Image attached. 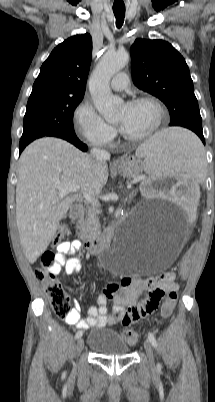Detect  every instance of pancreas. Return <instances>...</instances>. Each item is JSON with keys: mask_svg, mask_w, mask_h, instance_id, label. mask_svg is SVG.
Returning <instances> with one entry per match:
<instances>
[{"mask_svg": "<svg viewBox=\"0 0 215 402\" xmlns=\"http://www.w3.org/2000/svg\"><path fill=\"white\" fill-rule=\"evenodd\" d=\"M99 211L88 209L84 218L77 222L78 237L81 240L91 241L100 234V222L98 218Z\"/></svg>", "mask_w": 215, "mask_h": 402, "instance_id": "cf45deb5", "label": "pancreas"}]
</instances>
